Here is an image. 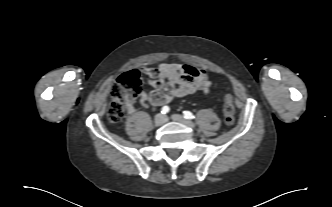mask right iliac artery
<instances>
[{"label":"right iliac artery","instance_id":"obj_1","mask_svg":"<svg viewBox=\"0 0 332 207\" xmlns=\"http://www.w3.org/2000/svg\"><path fill=\"white\" fill-rule=\"evenodd\" d=\"M169 107L168 106H164L162 109H161V113L162 114H167L169 112Z\"/></svg>","mask_w":332,"mask_h":207}]
</instances>
